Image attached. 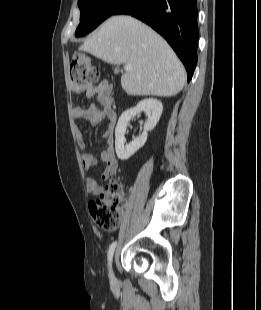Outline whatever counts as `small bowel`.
Returning <instances> with one entry per match:
<instances>
[{
	"label": "small bowel",
	"instance_id": "1",
	"mask_svg": "<svg viewBox=\"0 0 261 310\" xmlns=\"http://www.w3.org/2000/svg\"><path fill=\"white\" fill-rule=\"evenodd\" d=\"M72 91L75 94H85L89 99H93L87 108L74 107L73 117L88 121L91 125L100 124L105 118L109 120L106 129L102 133V138L106 141V146L96 158L93 154L84 151L82 153V163L86 170L96 166L99 162L105 165L102 178L108 180L115 176L118 170V160L114 152V126L116 115L112 109L111 88L107 81H102L97 85L73 86ZM76 139L81 149H85V140L83 133L79 128L76 129ZM87 190L94 195L103 192V187L97 181L88 176L86 178Z\"/></svg>",
	"mask_w": 261,
	"mask_h": 310
}]
</instances>
